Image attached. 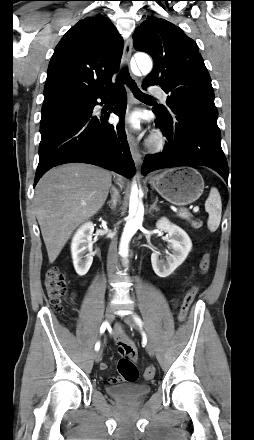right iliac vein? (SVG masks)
Segmentation results:
<instances>
[{"label": "right iliac vein", "mask_w": 254, "mask_h": 440, "mask_svg": "<svg viewBox=\"0 0 254 440\" xmlns=\"http://www.w3.org/2000/svg\"><path fill=\"white\" fill-rule=\"evenodd\" d=\"M106 319L111 322L113 320V308L108 307L105 314ZM102 359V350H98L94 355L95 362H99Z\"/></svg>", "instance_id": "obj_1"}]
</instances>
